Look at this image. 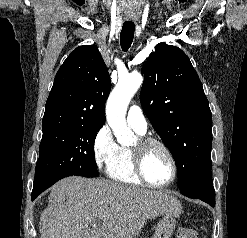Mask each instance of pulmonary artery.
Listing matches in <instances>:
<instances>
[{
  "label": "pulmonary artery",
  "instance_id": "pulmonary-artery-1",
  "mask_svg": "<svg viewBox=\"0 0 247 238\" xmlns=\"http://www.w3.org/2000/svg\"><path fill=\"white\" fill-rule=\"evenodd\" d=\"M127 122L135 130L145 133L147 129L146 118L138 105H132L127 112Z\"/></svg>",
  "mask_w": 247,
  "mask_h": 238
}]
</instances>
